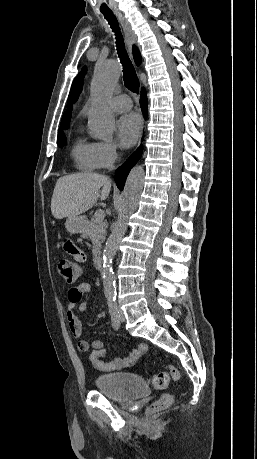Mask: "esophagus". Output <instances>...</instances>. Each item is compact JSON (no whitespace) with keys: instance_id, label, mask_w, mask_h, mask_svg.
<instances>
[{"instance_id":"esophagus-1","label":"esophagus","mask_w":257,"mask_h":459,"mask_svg":"<svg viewBox=\"0 0 257 459\" xmlns=\"http://www.w3.org/2000/svg\"><path fill=\"white\" fill-rule=\"evenodd\" d=\"M116 15L119 18L120 23L123 28L130 57L133 58L132 57V46L136 44V35L134 34L129 22L123 17L122 13L119 11H116Z\"/></svg>"}]
</instances>
